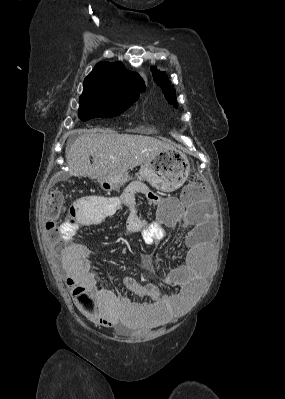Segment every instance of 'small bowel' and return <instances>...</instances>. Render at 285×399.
<instances>
[{
	"instance_id": "1",
	"label": "small bowel",
	"mask_w": 285,
	"mask_h": 399,
	"mask_svg": "<svg viewBox=\"0 0 285 399\" xmlns=\"http://www.w3.org/2000/svg\"><path fill=\"white\" fill-rule=\"evenodd\" d=\"M151 194L140 183L129 185L120 197H82L69 206V217L61 225L63 231L79 234L84 227L96 226L101 221L125 212V226L132 233L141 232L145 243L153 244L166 238V231L156 220L142 219L136 209V195ZM158 207L171 210L168 202L158 201ZM188 210L180 206L178 218ZM191 217L198 214L197 207L190 208ZM201 231H194L186 237V252L182 263L176 265L161 282L178 289L174 295H164L153 282L137 283L123 275L119 278L117 290L102 289L97 285L90 271L88 257L90 248L81 242L66 244L62 249V264L66 271V283L77 309L91 321L111 327L120 322L134 324L142 329L159 327L179 318L189 309L200 290V281L205 275L207 259L200 243ZM122 289L129 290L137 297L149 298L151 303H138ZM95 301L96 307L90 305Z\"/></svg>"
}]
</instances>
